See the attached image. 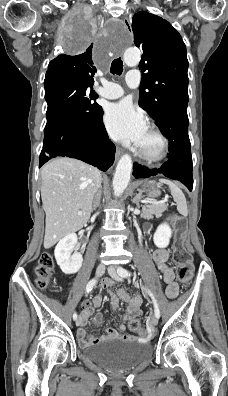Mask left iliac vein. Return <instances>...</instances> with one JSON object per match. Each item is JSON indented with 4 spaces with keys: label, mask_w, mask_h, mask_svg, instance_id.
<instances>
[{
    "label": "left iliac vein",
    "mask_w": 228,
    "mask_h": 396,
    "mask_svg": "<svg viewBox=\"0 0 228 396\" xmlns=\"http://www.w3.org/2000/svg\"><path fill=\"white\" fill-rule=\"evenodd\" d=\"M108 273L109 275L116 281H122V278L118 275L116 268L114 266H110L108 268ZM150 323L152 326H157L158 324V318L156 317L155 314L152 315Z\"/></svg>",
    "instance_id": "4c4485c4"
}]
</instances>
